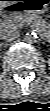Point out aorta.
<instances>
[{"mask_svg":"<svg viewBox=\"0 0 50 111\" xmlns=\"http://www.w3.org/2000/svg\"><path fill=\"white\" fill-rule=\"evenodd\" d=\"M37 34L32 32V33H27L24 37V41L28 44H34L37 42Z\"/></svg>","mask_w":50,"mask_h":111,"instance_id":"762f6f07","label":"aorta"}]
</instances>
